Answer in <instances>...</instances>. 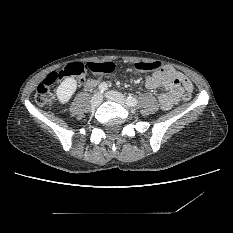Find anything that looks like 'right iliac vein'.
Segmentation results:
<instances>
[{
  "mask_svg": "<svg viewBox=\"0 0 233 233\" xmlns=\"http://www.w3.org/2000/svg\"><path fill=\"white\" fill-rule=\"evenodd\" d=\"M102 102V95L100 93H96L91 99V106L93 108L98 107Z\"/></svg>",
  "mask_w": 233,
  "mask_h": 233,
  "instance_id": "1",
  "label": "right iliac vein"
}]
</instances>
